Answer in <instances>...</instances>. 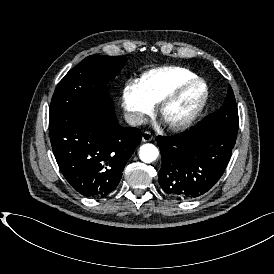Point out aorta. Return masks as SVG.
<instances>
[{
  "mask_svg": "<svg viewBox=\"0 0 274 274\" xmlns=\"http://www.w3.org/2000/svg\"><path fill=\"white\" fill-rule=\"evenodd\" d=\"M159 151L153 144H144L140 147L139 157L145 163H151L157 159Z\"/></svg>",
  "mask_w": 274,
  "mask_h": 274,
  "instance_id": "obj_1",
  "label": "aorta"
}]
</instances>
